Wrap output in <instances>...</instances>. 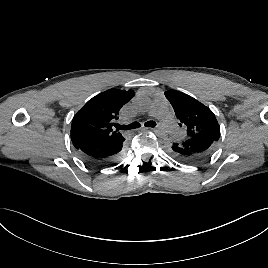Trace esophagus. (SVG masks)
Wrapping results in <instances>:
<instances>
[{"mask_svg": "<svg viewBox=\"0 0 268 268\" xmlns=\"http://www.w3.org/2000/svg\"><path fill=\"white\" fill-rule=\"evenodd\" d=\"M144 129H149V130H151V131H155V128H152V127H146V128H144Z\"/></svg>", "mask_w": 268, "mask_h": 268, "instance_id": "34e87169", "label": "esophagus"}]
</instances>
